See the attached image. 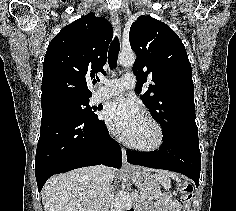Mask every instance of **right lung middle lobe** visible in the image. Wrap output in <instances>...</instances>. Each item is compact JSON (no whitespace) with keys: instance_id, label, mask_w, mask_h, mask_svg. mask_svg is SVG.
I'll list each match as a JSON object with an SVG mask.
<instances>
[{"instance_id":"right-lung-middle-lobe-1","label":"right lung middle lobe","mask_w":236,"mask_h":211,"mask_svg":"<svg viewBox=\"0 0 236 211\" xmlns=\"http://www.w3.org/2000/svg\"><path fill=\"white\" fill-rule=\"evenodd\" d=\"M95 111L89 106V99L58 98L42 104V116L63 114L78 119H97Z\"/></svg>"}]
</instances>
